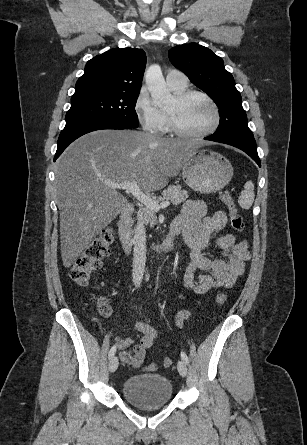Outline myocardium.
<instances>
[{
    "label": "myocardium",
    "instance_id": "myocardium-1",
    "mask_svg": "<svg viewBox=\"0 0 307 445\" xmlns=\"http://www.w3.org/2000/svg\"><path fill=\"white\" fill-rule=\"evenodd\" d=\"M194 97L203 99L204 101L208 102L213 107V109L215 111L214 125L211 128H209L208 130H205L202 132H198V133L189 132V131H186L185 129H183L178 124V122L176 121V119L174 118V116L171 113L165 111L166 123H167V127H168L169 131L172 132L173 134H175L176 136H178V137H170L169 139H203V138L208 137L209 135L215 133L221 127L222 121H223V113H222V110H221L219 104L212 97H210L209 95H207L204 92L197 91V90H185L182 93H176L173 95V99L178 104H182Z\"/></svg>",
    "mask_w": 307,
    "mask_h": 445
}]
</instances>
